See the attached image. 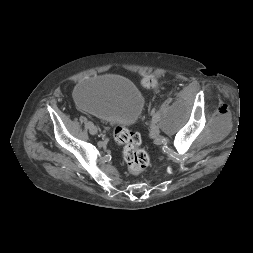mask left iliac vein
Masks as SVG:
<instances>
[{
	"mask_svg": "<svg viewBox=\"0 0 253 253\" xmlns=\"http://www.w3.org/2000/svg\"><path fill=\"white\" fill-rule=\"evenodd\" d=\"M160 133V128L158 125H154L152 127V131H151V136L155 137L156 135H158Z\"/></svg>",
	"mask_w": 253,
	"mask_h": 253,
	"instance_id": "4c4485c4",
	"label": "left iliac vein"
}]
</instances>
